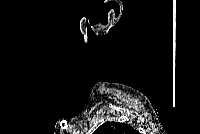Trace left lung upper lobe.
I'll return each mask as SVG.
<instances>
[{
	"label": "left lung upper lobe",
	"mask_w": 200,
	"mask_h": 134,
	"mask_svg": "<svg viewBox=\"0 0 200 134\" xmlns=\"http://www.w3.org/2000/svg\"><path fill=\"white\" fill-rule=\"evenodd\" d=\"M93 134H138V132L131 126L124 123L106 122Z\"/></svg>",
	"instance_id": "left-lung-upper-lobe-1"
}]
</instances>
